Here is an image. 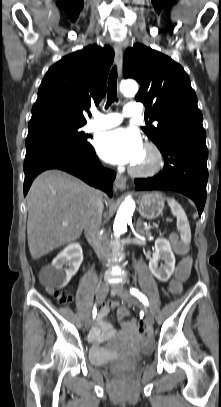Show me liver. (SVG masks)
Segmentation results:
<instances>
[{"instance_id":"obj_1","label":"liver","mask_w":221,"mask_h":407,"mask_svg":"<svg viewBox=\"0 0 221 407\" xmlns=\"http://www.w3.org/2000/svg\"><path fill=\"white\" fill-rule=\"evenodd\" d=\"M95 192L60 170H48L35 178L26 198L28 246L33 259L81 236Z\"/></svg>"}]
</instances>
